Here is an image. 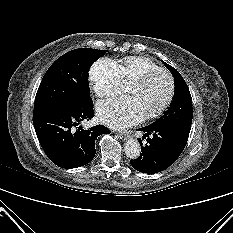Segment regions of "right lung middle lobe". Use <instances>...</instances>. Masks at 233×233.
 <instances>
[{
    "instance_id": "dd1d6c3e",
    "label": "right lung middle lobe",
    "mask_w": 233,
    "mask_h": 233,
    "mask_svg": "<svg viewBox=\"0 0 233 233\" xmlns=\"http://www.w3.org/2000/svg\"><path fill=\"white\" fill-rule=\"evenodd\" d=\"M107 51L80 48L58 58L45 73L34 103V113L51 108H74L91 103L87 73Z\"/></svg>"
}]
</instances>
